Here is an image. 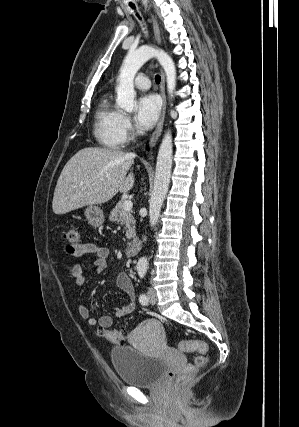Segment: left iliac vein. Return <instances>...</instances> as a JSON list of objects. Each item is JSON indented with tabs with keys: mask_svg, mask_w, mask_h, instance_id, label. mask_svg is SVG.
I'll return each mask as SVG.
<instances>
[{
	"mask_svg": "<svg viewBox=\"0 0 299 427\" xmlns=\"http://www.w3.org/2000/svg\"><path fill=\"white\" fill-rule=\"evenodd\" d=\"M148 300L152 305L157 303V295L156 292L150 287L147 292Z\"/></svg>",
	"mask_w": 299,
	"mask_h": 427,
	"instance_id": "1",
	"label": "left iliac vein"
}]
</instances>
